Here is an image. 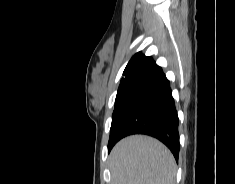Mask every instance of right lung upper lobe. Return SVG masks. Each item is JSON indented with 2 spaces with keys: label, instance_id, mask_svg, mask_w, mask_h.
I'll use <instances>...</instances> for the list:
<instances>
[{
  "label": "right lung upper lobe",
  "instance_id": "1",
  "mask_svg": "<svg viewBox=\"0 0 235 184\" xmlns=\"http://www.w3.org/2000/svg\"><path fill=\"white\" fill-rule=\"evenodd\" d=\"M156 63L151 57L143 55L141 52L136 53L128 62L121 79L118 91H126L133 85L137 84L143 77L154 67Z\"/></svg>",
  "mask_w": 235,
  "mask_h": 184
}]
</instances>
